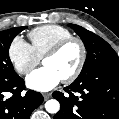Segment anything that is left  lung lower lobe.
<instances>
[{"instance_id": "0a47b994", "label": "left lung lower lobe", "mask_w": 119, "mask_h": 119, "mask_svg": "<svg viewBox=\"0 0 119 119\" xmlns=\"http://www.w3.org/2000/svg\"><path fill=\"white\" fill-rule=\"evenodd\" d=\"M64 90L69 95L58 91L53 93L61 104L54 119H119V65L75 80Z\"/></svg>"}]
</instances>
